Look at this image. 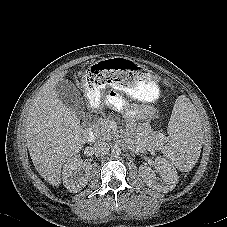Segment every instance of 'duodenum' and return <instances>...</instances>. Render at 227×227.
I'll return each mask as SVG.
<instances>
[{
    "instance_id": "obj_1",
    "label": "duodenum",
    "mask_w": 227,
    "mask_h": 227,
    "mask_svg": "<svg viewBox=\"0 0 227 227\" xmlns=\"http://www.w3.org/2000/svg\"><path fill=\"white\" fill-rule=\"evenodd\" d=\"M86 139L88 143H94L96 139V130L93 125H90L86 130Z\"/></svg>"
}]
</instances>
